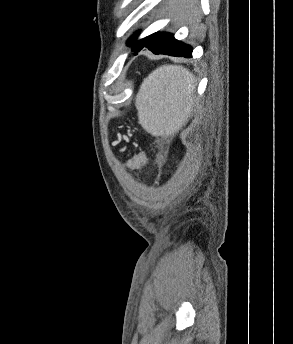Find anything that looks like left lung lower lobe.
Masks as SVG:
<instances>
[{
	"label": "left lung lower lobe",
	"instance_id": "left-lung-lower-lobe-1",
	"mask_svg": "<svg viewBox=\"0 0 293 344\" xmlns=\"http://www.w3.org/2000/svg\"><path fill=\"white\" fill-rule=\"evenodd\" d=\"M145 47L151 50L154 54H167L186 58L192 57L191 46L176 40L174 37L166 44L147 45Z\"/></svg>",
	"mask_w": 293,
	"mask_h": 344
}]
</instances>
